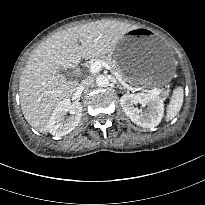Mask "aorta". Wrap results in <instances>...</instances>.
<instances>
[{"mask_svg":"<svg viewBox=\"0 0 205 205\" xmlns=\"http://www.w3.org/2000/svg\"><path fill=\"white\" fill-rule=\"evenodd\" d=\"M96 84L97 86L99 87H106L109 85V80L107 77L103 76V75H99L97 78H96Z\"/></svg>","mask_w":205,"mask_h":205,"instance_id":"aorta-1","label":"aorta"}]
</instances>
